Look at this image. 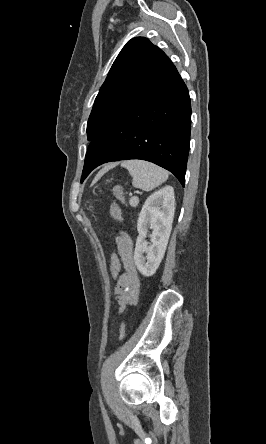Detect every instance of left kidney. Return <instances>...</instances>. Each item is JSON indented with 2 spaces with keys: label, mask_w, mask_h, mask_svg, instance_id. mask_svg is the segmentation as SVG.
I'll use <instances>...</instances> for the list:
<instances>
[{
  "label": "left kidney",
  "mask_w": 266,
  "mask_h": 444,
  "mask_svg": "<svg viewBox=\"0 0 266 444\" xmlns=\"http://www.w3.org/2000/svg\"><path fill=\"white\" fill-rule=\"evenodd\" d=\"M175 211L174 189L165 186L154 192L145 201L137 222L138 237L134 252V260L139 272L152 276L158 269L168 244ZM148 227L153 229L152 245L148 246L145 238ZM147 254V262L143 254Z\"/></svg>",
  "instance_id": "1"
}]
</instances>
